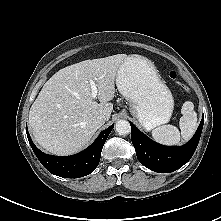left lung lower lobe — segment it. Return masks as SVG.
I'll return each instance as SVG.
<instances>
[{"label": "left lung lower lobe", "mask_w": 221, "mask_h": 221, "mask_svg": "<svg viewBox=\"0 0 221 221\" xmlns=\"http://www.w3.org/2000/svg\"><path fill=\"white\" fill-rule=\"evenodd\" d=\"M204 116L193 138L181 147L160 145L140 132L132 123L131 140L138 160L150 170L159 173L173 172L186 164L194 154L200 140Z\"/></svg>", "instance_id": "left-lung-lower-lobe-1"}]
</instances>
